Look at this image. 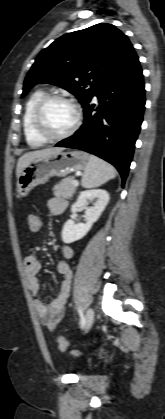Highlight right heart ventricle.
I'll return each instance as SVG.
<instances>
[{
    "instance_id": "1",
    "label": "right heart ventricle",
    "mask_w": 165,
    "mask_h": 419,
    "mask_svg": "<svg viewBox=\"0 0 165 419\" xmlns=\"http://www.w3.org/2000/svg\"><path fill=\"white\" fill-rule=\"evenodd\" d=\"M44 96L43 91H35L33 92L28 100L26 101L25 107H24V113L22 118L23 123V132L26 139V142L32 146V147H39L46 143V140L41 138L33 127V110L36 105V103Z\"/></svg>"
}]
</instances>
